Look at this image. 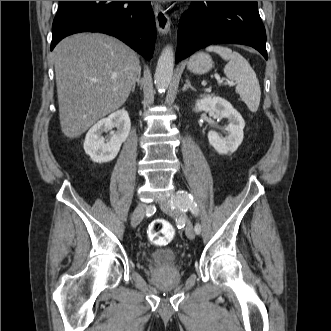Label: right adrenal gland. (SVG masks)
I'll return each mask as SVG.
<instances>
[{"label": "right adrenal gland", "instance_id": "right-adrenal-gland-1", "mask_svg": "<svg viewBox=\"0 0 331 331\" xmlns=\"http://www.w3.org/2000/svg\"><path fill=\"white\" fill-rule=\"evenodd\" d=\"M140 76H141V74L139 73L138 76H137V78H136V80H135V82H134V84H133V87H132V93H133L134 90H135L136 83H137L138 85L140 84Z\"/></svg>", "mask_w": 331, "mask_h": 331}]
</instances>
